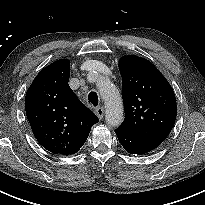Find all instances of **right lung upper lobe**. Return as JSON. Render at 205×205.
Listing matches in <instances>:
<instances>
[{
	"instance_id": "obj_1",
	"label": "right lung upper lobe",
	"mask_w": 205,
	"mask_h": 205,
	"mask_svg": "<svg viewBox=\"0 0 205 205\" xmlns=\"http://www.w3.org/2000/svg\"><path fill=\"white\" fill-rule=\"evenodd\" d=\"M70 61L61 59L42 69L27 90L25 110L37 141L58 155H72L85 143L99 120L68 85Z\"/></svg>"
}]
</instances>
